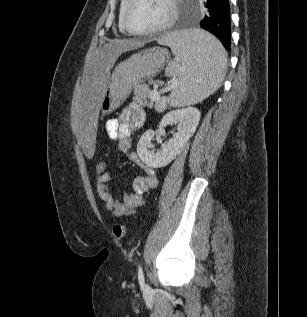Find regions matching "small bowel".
I'll use <instances>...</instances> for the list:
<instances>
[{
  "instance_id": "c3829d8e",
  "label": "small bowel",
  "mask_w": 307,
  "mask_h": 317,
  "mask_svg": "<svg viewBox=\"0 0 307 317\" xmlns=\"http://www.w3.org/2000/svg\"><path fill=\"white\" fill-rule=\"evenodd\" d=\"M145 121L144 110L136 103H131L125 107L117 118H113L106 123V132L111 140L118 143L119 149L128 153L131 160L136 162L143 170L144 174L134 178L132 192L124 194L121 200L116 199L111 192L110 184L113 177L105 172L96 179V193L116 217H124L136 212L144 204V194L157 185L156 171L141 162L135 153H130L131 133L143 125Z\"/></svg>"
}]
</instances>
